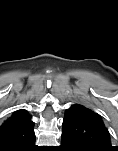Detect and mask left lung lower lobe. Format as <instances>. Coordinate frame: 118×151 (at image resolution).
<instances>
[{
  "label": "left lung lower lobe",
  "mask_w": 118,
  "mask_h": 151,
  "mask_svg": "<svg viewBox=\"0 0 118 151\" xmlns=\"http://www.w3.org/2000/svg\"><path fill=\"white\" fill-rule=\"evenodd\" d=\"M60 148L62 151H87L77 139L65 133L61 135Z\"/></svg>",
  "instance_id": "1"
}]
</instances>
